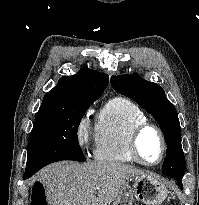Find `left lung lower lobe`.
<instances>
[{
  "instance_id": "0a47b994",
  "label": "left lung lower lobe",
  "mask_w": 199,
  "mask_h": 205,
  "mask_svg": "<svg viewBox=\"0 0 199 205\" xmlns=\"http://www.w3.org/2000/svg\"><path fill=\"white\" fill-rule=\"evenodd\" d=\"M179 186H180L181 188H183L182 184H179Z\"/></svg>"
}]
</instances>
